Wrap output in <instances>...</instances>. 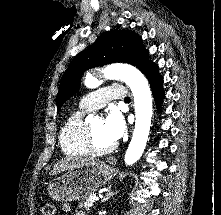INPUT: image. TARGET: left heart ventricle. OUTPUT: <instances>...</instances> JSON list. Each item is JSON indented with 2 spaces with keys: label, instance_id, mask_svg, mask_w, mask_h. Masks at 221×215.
I'll return each mask as SVG.
<instances>
[{
  "label": "left heart ventricle",
  "instance_id": "left-heart-ventricle-1",
  "mask_svg": "<svg viewBox=\"0 0 221 215\" xmlns=\"http://www.w3.org/2000/svg\"><path fill=\"white\" fill-rule=\"evenodd\" d=\"M91 128L93 131L95 142L100 147H108L113 143L107 139L103 132V121L102 120H95L91 124Z\"/></svg>",
  "mask_w": 221,
  "mask_h": 215
}]
</instances>
